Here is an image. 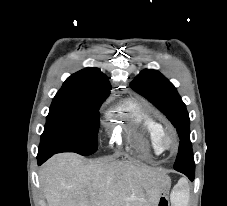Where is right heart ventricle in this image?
<instances>
[{
    "instance_id": "right-heart-ventricle-1",
    "label": "right heart ventricle",
    "mask_w": 227,
    "mask_h": 206,
    "mask_svg": "<svg viewBox=\"0 0 227 206\" xmlns=\"http://www.w3.org/2000/svg\"><path fill=\"white\" fill-rule=\"evenodd\" d=\"M112 112L125 118L138 131L156 155L161 153L158 146V137L164 128L161 122L146 107L134 99H128L121 102Z\"/></svg>"
}]
</instances>
